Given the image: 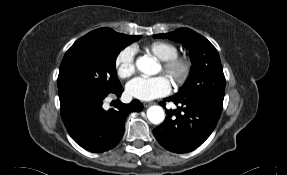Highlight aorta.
<instances>
[{
    "label": "aorta",
    "instance_id": "762f6f07",
    "mask_svg": "<svg viewBox=\"0 0 287 175\" xmlns=\"http://www.w3.org/2000/svg\"><path fill=\"white\" fill-rule=\"evenodd\" d=\"M138 70L146 75H153L156 73V61L147 56L139 57L136 61ZM147 118L153 124H160L165 119V113L161 106H151L147 110Z\"/></svg>",
    "mask_w": 287,
    "mask_h": 175
}]
</instances>
